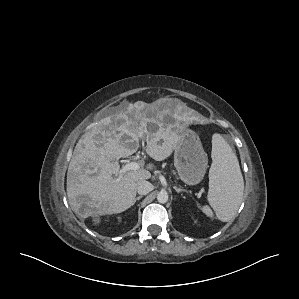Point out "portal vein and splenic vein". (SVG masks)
I'll return each instance as SVG.
<instances>
[{"label":"portal vein and splenic vein","instance_id":"18ae733b","mask_svg":"<svg viewBox=\"0 0 299 299\" xmlns=\"http://www.w3.org/2000/svg\"><path fill=\"white\" fill-rule=\"evenodd\" d=\"M139 168H140V164L137 163L136 161H132L125 165H122L120 172H119V176L117 178V181H120V179L126 172H128L130 170H138Z\"/></svg>","mask_w":299,"mask_h":299}]
</instances>
